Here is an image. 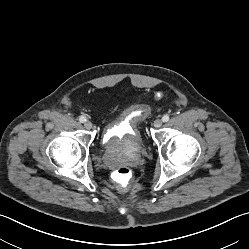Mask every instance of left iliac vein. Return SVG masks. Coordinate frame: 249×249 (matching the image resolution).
Segmentation results:
<instances>
[{
  "label": "left iliac vein",
  "mask_w": 249,
  "mask_h": 249,
  "mask_svg": "<svg viewBox=\"0 0 249 249\" xmlns=\"http://www.w3.org/2000/svg\"><path fill=\"white\" fill-rule=\"evenodd\" d=\"M153 126L156 127V128H160L162 126V120L161 119H156L153 122Z\"/></svg>",
  "instance_id": "left-iliac-vein-1"
}]
</instances>
